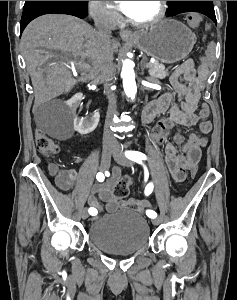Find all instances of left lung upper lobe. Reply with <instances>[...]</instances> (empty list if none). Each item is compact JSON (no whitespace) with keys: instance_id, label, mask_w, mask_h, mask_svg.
<instances>
[{"instance_id":"obj_1","label":"left lung upper lobe","mask_w":237,"mask_h":300,"mask_svg":"<svg viewBox=\"0 0 237 300\" xmlns=\"http://www.w3.org/2000/svg\"><path fill=\"white\" fill-rule=\"evenodd\" d=\"M169 10L167 16H174L189 11V9L200 7H213V1H167Z\"/></svg>"}]
</instances>
